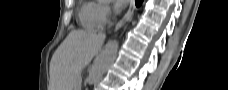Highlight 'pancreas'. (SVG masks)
<instances>
[{
  "mask_svg": "<svg viewBox=\"0 0 228 90\" xmlns=\"http://www.w3.org/2000/svg\"><path fill=\"white\" fill-rule=\"evenodd\" d=\"M81 86V79H78L76 81V87L79 88Z\"/></svg>",
  "mask_w": 228,
  "mask_h": 90,
  "instance_id": "obj_1",
  "label": "pancreas"
}]
</instances>
